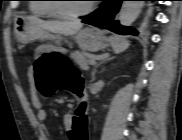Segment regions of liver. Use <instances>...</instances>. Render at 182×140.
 Returning a JSON list of instances; mask_svg holds the SVG:
<instances>
[{
	"instance_id": "6515ba94",
	"label": "liver",
	"mask_w": 182,
	"mask_h": 140,
	"mask_svg": "<svg viewBox=\"0 0 182 140\" xmlns=\"http://www.w3.org/2000/svg\"><path fill=\"white\" fill-rule=\"evenodd\" d=\"M32 23L37 25L45 34L44 37L51 38L47 32L62 34V35H74L82 28V23L79 21H43L38 17H27Z\"/></svg>"
}]
</instances>
